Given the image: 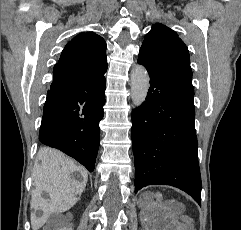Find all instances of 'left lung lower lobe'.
Here are the masks:
<instances>
[{"label": "left lung lower lobe", "mask_w": 241, "mask_h": 230, "mask_svg": "<svg viewBox=\"0 0 241 230\" xmlns=\"http://www.w3.org/2000/svg\"><path fill=\"white\" fill-rule=\"evenodd\" d=\"M146 101L132 111L135 192L152 184L177 187L201 203L192 81L146 66Z\"/></svg>", "instance_id": "obj_1"}]
</instances>
